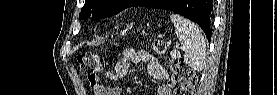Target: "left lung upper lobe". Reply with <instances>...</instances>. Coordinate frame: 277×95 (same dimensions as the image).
<instances>
[{"label":"left lung upper lobe","mask_w":277,"mask_h":95,"mask_svg":"<svg viewBox=\"0 0 277 95\" xmlns=\"http://www.w3.org/2000/svg\"><path fill=\"white\" fill-rule=\"evenodd\" d=\"M138 0H85L80 19H104L133 6ZM176 0H159L160 9L173 5Z\"/></svg>","instance_id":"left-lung-upper-lobe-1"}]
</instances>
